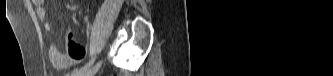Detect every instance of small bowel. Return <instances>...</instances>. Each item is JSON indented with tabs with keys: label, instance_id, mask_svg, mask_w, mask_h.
Wrapping results in <instances>:
<instances>
[{
	"label": "small bowel",
	"instance_id": "c3829d8e",
	"mask_svg": "<svg viewBox=\"0 0 333 76\" xmlns=\"http://www.w3.org/2000/svg\"><path fill=\"white\" fill-rule=\"evenodd\" d=\"M37 8L38 18L45 22V29L51 30L52 26L47 21L48 11L43 0H33ZM84 23L87 31L91 30V22L87 16L84 17ZM84 56V47L73 40L72 34L67 33L66 50L61 51L59 46L53 42L49 47V57L54 67L67 69L80 61Z\"/></svg>",
	"mask_w": 333,
	"mask_h": 76
}]
</instances>
